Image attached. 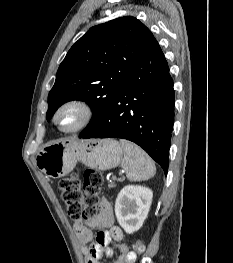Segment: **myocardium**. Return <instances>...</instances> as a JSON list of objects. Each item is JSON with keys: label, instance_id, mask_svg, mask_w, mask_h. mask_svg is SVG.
<instances>
[{"label": "myocardium", "instance_id": "obj_1", "mask_svg": "<svg viewBox=\"0 0 233 263\" xmlns=\"http://www.w3.org/2000/svg\"><path fill=\"white\" fill-rule=\"evenodd\" d=\"M67 109H76L81 114L80 121L70 129H63L60 127L58 122L59 115ZM93 118V109L92 107L84 100L81 99H70L62 103L54 113L53 123L58 128L59 131L63 133H75L84 127H86Z\"/></svg>", "mask_w": 233, "mask_h": 263}]
</instances>
